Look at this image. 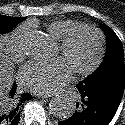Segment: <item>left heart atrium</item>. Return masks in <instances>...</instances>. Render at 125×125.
I'll list each match as a JSON object with an SVG mask.
<instances>
[{
	"mask_svg": "<svg viewBox=\"0 0 125 125\" xmlns=\"http://www.w3.org/2000/svg\"><path fill=\"white\" fill-rule=\"evenodd\" d=\"M72 75V70L62 58L53 60H33L20 70L19 80L25 88L38 94H48L65 85Z\"/></svg>",
	"mask_w": 125,
	"mask_h": 125,
	"instance_id": "39dd6f15",
	"label": "left heart atrium"
}]
</instances>
